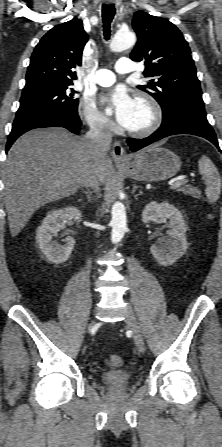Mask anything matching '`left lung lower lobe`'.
Returning a JSON list of instances; mask_svg holds the SVG:
<instances>
[{"label":"left lung lower lobe","mask_w":222,"mask_h":447,"mask_svg":"<svg viewBox=\"0 0 222 447\" xmlns=\"http://www.w3.org/2000/svg\"><path fill=\"white\" fill-rule=\"evenodd\" d=\"M176 134H192L206 138L219 149L215 132L208 123L206 114H199L183 108H175L163 116L160 128L149 137L144 139L129 138L127 143L135 152L155 141Z\"/></svg>","instance_id":"1"}]
</instances>
